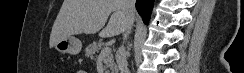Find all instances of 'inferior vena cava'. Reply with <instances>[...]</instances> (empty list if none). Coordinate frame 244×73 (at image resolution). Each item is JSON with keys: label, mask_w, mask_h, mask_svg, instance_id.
<instances>
[{"label": "inferior vena cava", "mask_w": 244, "mask_h": 73, "mask_svg": "<svg viewBox=\"0 0 244 73\" xmlns=\"http://www.w3.org/2000/svg\"><path fill=\"white\" fill-rule=\"evenodd\" d=\"M121 8L127 17V26L126 29L123 31V40L125 41L128 38L134 22L135 0H121ZM117 64L120 73H129L127 54L124 44H122L117 51Z\"/></svg>", "instance_id": "inferior-vena-cava-1"}]
</instances>
